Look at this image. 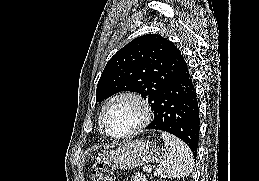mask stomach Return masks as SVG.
Segmentation results:
<instances>
[{
  "instance_id": "obj_1",
  "label": "stomach",
  "mask_w": 259,
  "mask_h": 181,
  "mask_svg": "<svg viewBox=\"0 0 259 181\" xmlns=\"http://www.w3.org/2000/svg\"><path fill=\"white\" fill-rule=\"evenodd\" d=\"M157 154L159 148L153 142L134 140L109 151L104 160L114 168L133 169L155 160Z\"/></svg>"
}]
</instances>
